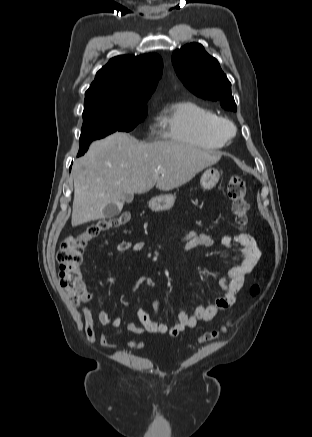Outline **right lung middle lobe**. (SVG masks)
I'll list each match as a JSON object with an SVG mask.
<instances>
[{
	"instance_id": "dd1d6c3e",
	"label": "right lung middle lobe",
	"mask_w": 312,
	"mask_h": 437,
	"mask_svg": "<svg viewBox=\"0 0 312 437\" xmlns=\"http://www.w3.org/2000/svg\"><path fill=\"white\" fill-rule=\"evenodd\" d=\"M147 115V107L137 110L97 108L84 110L78 156L83 155L93 140L116 131L133 130Z\"/></svg>"
}]
</instances>
